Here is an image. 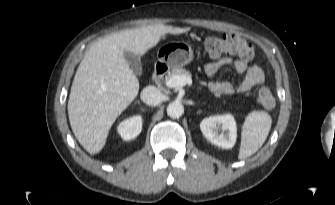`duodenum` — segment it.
<instances>
[{
    "label": "duodenum",
    "mask_w": 335,
    "mask_h": 205,
    "mask_svg": "<svg viewBox=\"0 0 335 205\" xmlns=\"http://www.w3.org/2000/svg\"><path fill=\"white\" fill-rule=\"evenodd\" d=\"M167 70H168V66H167L166 62L158 61L155 64L154 71H153V74H152L153 79H155V80L161 79L165 75Z\"/></svg>",
    "instance_id": "1"
}]
</instances>
